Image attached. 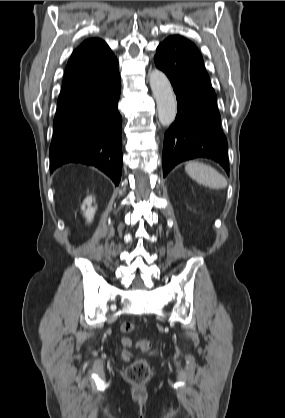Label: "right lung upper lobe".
Masks as SVG:
<instances>
[{"label": "right lung upper lobe", "mask_w": 285, "mask_h": 418, "mask_svg": "<svg viewBox=\"0 0 285 418\" xmlns=\"http://www.w3.org/2000/svg\"><path fill=\"white\" fill-rule=\"evenodd\" d=\"M118 72V61L99 38L85 40L76 48L65 69L58 104L84 93Z\"/></svg>", "instance_id": "cb5924a9"}]
</instances>
